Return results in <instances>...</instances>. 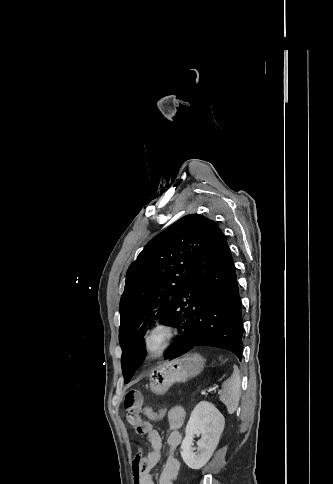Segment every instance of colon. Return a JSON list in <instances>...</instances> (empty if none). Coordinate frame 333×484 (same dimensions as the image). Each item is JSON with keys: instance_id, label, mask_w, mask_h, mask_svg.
Listing matches in <instances>:
<instances>
[{"instance_id": "5ec220e1", "label": "colon", "mask_w": 333, "mask_h": 484, "mask_svg": "<svg viewBox=\"0 0 333 484\" xmlns=\"http://www.w3.org/2000/svg\"><path fill=\"white\" fill-rule=\"evenodd\" d=\"M165 411L166 409L164 408L154 409L152 407H145L144 416L149 420H158L164 415Z\"/></svg>"}]
</instances>
